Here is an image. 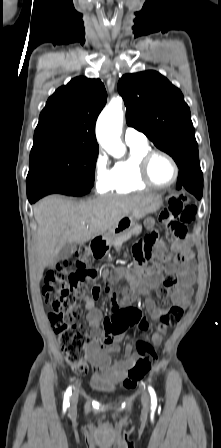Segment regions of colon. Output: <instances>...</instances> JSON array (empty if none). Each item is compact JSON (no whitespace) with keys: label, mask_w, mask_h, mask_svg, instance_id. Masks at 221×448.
Returning <instances> with one entry per match:
<instances>
[{"label":"colon","mask_w":221,"mask_h":448,"mask_svg":"<svg viewBox=\"0 0 221 448\" xmlns=\"http://www.w3.org/2000/svg\"><path fill=\"white\" fill-rule=\"evenodd\" d=\"M161 220L165 223L166 231L177 239L187 237V227L196 218V209L185 196L171 195L168 197L167 207L161 213ZM153 236H147L136 247V259L141 265L153 258ZM191 253L178 255L177 262L189 259ZM155 267H158L155 262ZM98 271L91 266V251L85 244L74 247L70 257L61 261L57 267L45 274L42 294L45 302L51 306L49 319L53 330L59 336L62 350L71 368L80 374L88 371L85 349L91 340L86 327L79 322V311L76 301L87 293L93 294ZM176 283V277L170 273L164 275L163 287L158 290V296L167 304L168 290ZM112 300L115 299L110 292ZM127 320L123 326L137 325L142 333L150 329L149 322L137 308L130 306L125 310ZM183 315L180 306H171L161 315L157 329L177 324ZM106 330H112L109 323H105ZM139 358L134 362L124 380L126 389H133L139 381L152 369L157 355L153 346L143 339L137 341Z\"/></svg>","instance_id":"obj_1"}]
</instances>
